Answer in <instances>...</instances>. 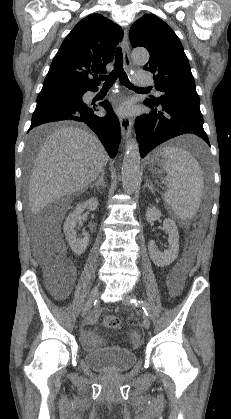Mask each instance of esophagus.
Here are the masks:
<instances>
[{"mask_svg": "<svg viewBox=\"0 0 231 419\" xmlns=\"http://www.w3.org/2000/svg\"><path fill=\"white\" fill-rule=\"evenodd\" d=\"M123 55H124L125 66L129 68L131 66V59H130V46H129L127 29L124 30ZM119 122H120L121 134H122L123 140L126 141L130 135L132 120L129 117L120 116Z\"/></svg>", "mask_w": 231, "mask_h": 419, "instance_id": "1", "label": "esophagus"}]
</instances>
